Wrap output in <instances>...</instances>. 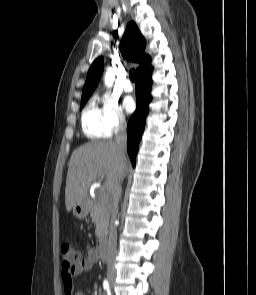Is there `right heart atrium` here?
<instances>
[{"instance_id": "right-heart-atrium-1", "label": "right heart atrium", "mask_w": 256, "mask_h": 295, "mask_svg": "<svg viewBox=\"0 0 256 295\" xmlns=\"http://www.w3.org/2000/svg\"><path fill=\"white\" fill-rule=\"evenodd\" d=\"M99 99L103 123L110 136L126 126V118L118 102L110 95L104 94Z\"/></svg>"}]
</instances>
